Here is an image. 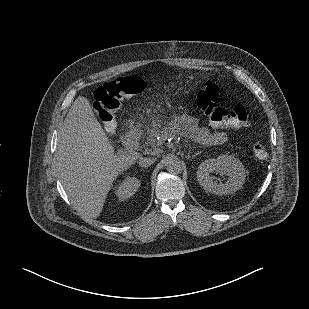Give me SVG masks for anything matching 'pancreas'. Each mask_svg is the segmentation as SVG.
Wrapping results in <instances>:
<instances>
[{
	"mask_svg": "<svg viewBox=\"0 0 309 309\" xmlns=\"http://www.w3.org/2000/svg\"><path fill=\"white\" fill-rule=\"evenodd\" d=\"M172 131L173 130L171 128H163L162 130L158 128L151 129L147 133L145 144L147 146H151L152 148H159L163 143L162 138L168 137ZM158 136L161 137L160 140L156 139Z\"/></svg>",
	"mask_w": 309,
	"mask_h": 309,
	"instance_id": "pancreas-1",
	"label": "pancreas"
}]
</instances>
